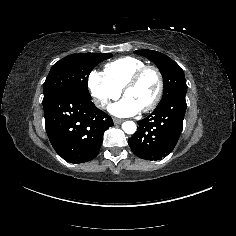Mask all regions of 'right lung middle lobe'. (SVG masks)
Wrapping results in <instances>:
<instances>
[{"label":"right lung middle lobe","instance_id":"right-lung-middle-lobe-1","mask_svg":"<svg viewBox=\"0 0 236 236\" xmlns=\"http://www.w3.org/2000/svg\"><path fill=\"white\" fill-rule=\"evenodd\" d=\"M112 57L111 53L72 54L54 64L44 83V98L58 91L90 99L88 76L100 62Z\"/></svg>","mask_w":236,"mask_h":236}]
</instances>
